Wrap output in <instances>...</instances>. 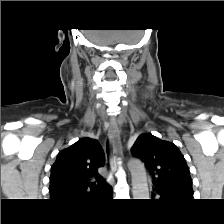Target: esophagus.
Segmentation results:
<instances>
[{
  "mask_svg": "<svg viewBox=\"0 0 224 224\" xmlns=\"http://www.w3.org/2000/svg\"><path fill=\"white\" fill-rule=\"evenodd\" d=\"M108 138L110 146L112 148V154L110 158V164L113 172L117 170L118 161L123 157L122 146L120 141L119 131L116 127L115 121L110 120L108 129Z\"/></svg>",
  "mask_w": 224,
  "mask_h": 224,
  "instance_id": "1",
  "label": "esophagus"
}]
</instances>
